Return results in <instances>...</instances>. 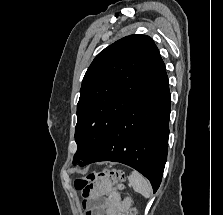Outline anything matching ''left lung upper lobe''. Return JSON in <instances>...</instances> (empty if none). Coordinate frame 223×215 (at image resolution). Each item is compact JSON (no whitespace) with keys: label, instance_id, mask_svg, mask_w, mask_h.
Returning <instances> with one entry per match:
<instances>
[{"label":"left lung upper lobe","instance_id":"left-lung-upper-lobe-1","mask_svg":"<svg viewBox=\"0 0 223 215\" xmlns=\"http://www.w3.org/2000/svg\"><path fill=\"white\" fill-rule=\"evenodd\" d=\"M163 64L154 41L145 35L126 36L95 57L77 104L74 165L90 160Z\"/></svg>","mask_w":223,"mask_h":215}]
</instances>
